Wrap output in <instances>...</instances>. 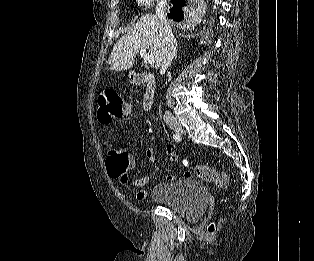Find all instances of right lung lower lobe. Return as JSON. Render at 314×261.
<instances>
[{"mask_svg":"<svg viewBox=\"0 0 314 261\" xmlns=\"http://www.w3.org/2000/svg\"><path fill=\"white\" fill-rule=\"evenodd\" d=\"M174 4L168 17L173 19L174 21H181L183 19V11L182 7L185 6L186 0H171Z\"/></svg>","mask_w":314,"mask_h":261,"instance_id":"98d812e1","label":"right lung lower lobe"}]
</instances>
